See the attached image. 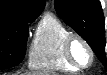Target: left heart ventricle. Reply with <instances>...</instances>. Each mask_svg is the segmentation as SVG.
<instances>
[{"label":"left heart ventricle","instance_id":"left-heart-ventricle-1","mask_svg":"<svg viewBox=\"0 0 107 75\" xmlns=\"http://www.w3.org/2000/svg\"><path fill=\"white\" fill-rule=\"evenodd\" d=\"M72 53L74 58L81 64L85 65L89 62L90 56L87 48L79 41H75L72 45Z\"/></svg>","mask_w":107,"mask_h":75}]
</instances>
